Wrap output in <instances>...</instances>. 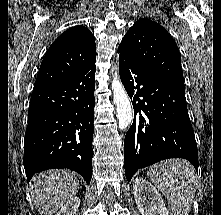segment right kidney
Segmentation results:
<instances>
[{
    "instance_id": "ca27d5eb",
    "label": "right kidney",
    "mask_w": 221,
    "mask_h": 215,
    "mask_svg": "<svg viewBox=\"0 0 221 215\" xmlns=\"http://www.w3.org/2000/svg\"><path fill=\"white\" fill-rule=\"evenodd\" d=\"M80 206V199L78 197L70 198L58 211L56 215H75Z\"/></svg>"
}]
</instances>
